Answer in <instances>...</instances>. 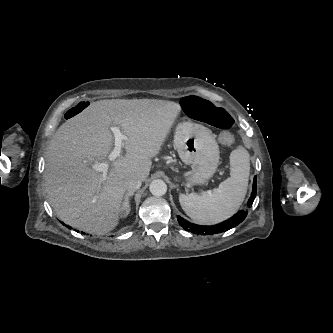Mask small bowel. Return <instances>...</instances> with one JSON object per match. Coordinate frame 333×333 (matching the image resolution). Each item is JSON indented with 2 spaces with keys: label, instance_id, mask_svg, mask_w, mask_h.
Segmentation results:
<instances>
[{
  "label": "small bowel",
  "instance_id": "obj_1",
  "mask_svg": "<svg viewBox=\"0 0 333 333\" xmlns=\"http://www.w3.org/2000/svg\"><path fill=\"white\" fill-rule=\"evenodd\" d=\"M237 138H238V140H240V142L243 143L244 150H246V151L249 150L250 144H249L248 139L245 136L240 134L237 137V134L235 132H232L227 129L221 130L219 132V135H218L216 141L219 146L229 147V146H232L237 141Z\"/></svg>",
  "mask_w": 333,
  "mask_h": 333
}]
</instances>
